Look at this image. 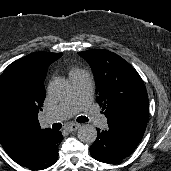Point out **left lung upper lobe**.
Listing matches in <instances>:
<instances>
[{
  "label": "left lung upper lobe",
  "instance_id": "obj_1",
  "mask_svg": "<svg viewBox=\"0 0 171 171\" xmlns=\"http://www.w3.org/2000/svg\"><path fill=\"white\" fill-rule=\"evenodd\" d=\"M78 54L93 71L96 100L108 119V126L141 141L147 126L149 101L140 75L113 52L94 49Z\"/></svg>",
  "mask_w": 171,
  "mask_h": 171
}]
</instances>
